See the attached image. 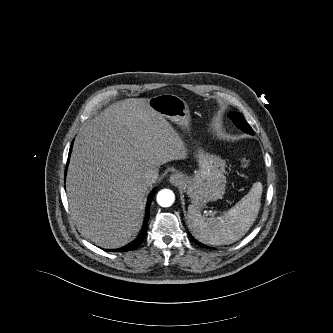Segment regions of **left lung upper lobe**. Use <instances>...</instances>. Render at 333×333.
I'll return each mask as SVG.
<instances>
[{
  "instance_id": "left-lung-upper-lobe-1",
  "label": "left lung upper lobe",
  "mask_w": 333,
  "mask_h": 333,
  "mask_svg": "<svg viewBox=\"0 0 333 333\" xmlns=\"http://www.w3.org/2000/svg\"><path fill=\"white\" fill-rule=\"evenodd\" d=\"M229 118L232 119V121L234 122V124L239 127L240 129H242L243 131L252 134V129L250 127V125L246 122V120L244 119V117L238 113V112H231L229 114Z\"/></svg>"
}]
</instances>
